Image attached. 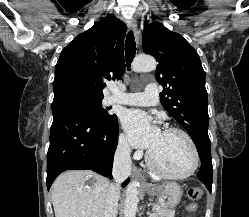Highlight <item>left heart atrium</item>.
<instances>
[{
    "instance_id": "39dd6f15",
    "label": "left heart atrium",
    "mask_w": 249,
    "mask_h": 217,
    "mask_svg": "<svg viewBox=\"0 0 249 217\" xmlns=\"http://www.w3.org/2000/svg\"><path fill=\"white\" fill-rule=\"evenodd\" d=\"M130 143L134 147L152 149L158 143L162 131L141 110H129L122 118Z\"/></svg>"
}]
</instances>
